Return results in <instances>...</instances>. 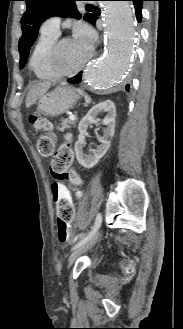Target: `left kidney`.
I'll return each mask as SVG.
<instances>
[{
    "label": "left kidney",
    "mask_w": 183,
    "mask_h": 329,
    "mask_svg": "<svg viewBox=\"0 0 183 329\" xmlns=\"http://www.w3.org/2000/svg\"><path fill=\"white\" fill-rule=\"evenodd\" d=\"M101 112H107L106 117L103 119L102 123L107 126L104 130L103 136L97 135L98 141L101 143L97 147L96 151L92 155H86L83 152V147L85 143L84 133L88 125L93 123H98L97 116ZM115 117H116V108L112 101L106 100L101 102L94 107H92L86 116L82 118L78 125L79 136L78 141L75 143V152L78 162L85 168H92L98 163V161L105 155L107 150L110 147V140L115 133Z\"/></svg>",
    "instance_id": "1"
}]
</instances>
